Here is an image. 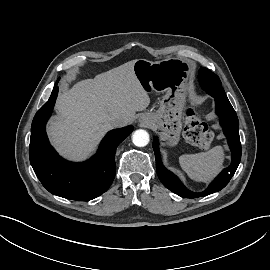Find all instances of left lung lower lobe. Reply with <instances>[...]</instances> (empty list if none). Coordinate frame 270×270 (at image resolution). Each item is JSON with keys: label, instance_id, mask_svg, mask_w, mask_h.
Returning a JSON list of instances; mask_svg holds the SVG:
<instances>
[{"label": "left lung lower lobe", "instance_id": "0a47b994", "mask_svg": "<svg viewBox=\"0 0 270 270\" xmlns=\"http://www.w3.org/2000/svg\"><path fill=\"white\" fill-rule=\"evenodd\" d=\"M215 104L216 113L220 117V124L223 127L224 134L228 139V144L232 152V164L224 169L206 190L197 193L186 189L180 180L163 166L160 160L158 141L155 140L153 142V149L156 157V171L159 179L166 188L183 198H197L220 191L228 184L240 163L241 143L239 137V122L236 112L228 99L221 100L215 98Z\"/></svg>", "mask_w": 270, "mask_h": 270}]
</instances>
